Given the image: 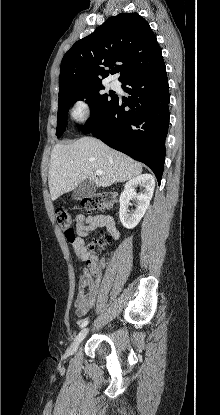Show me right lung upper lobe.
<instances>
[{"mask_svg": "<svg viewBox=\"0 0 220 415\" xmlns=\"http://www.w3.org/2000/svg\"><path fill=\"white\" fill-rule=\"evenodd\" d=\"M161 62V49L148 22L137 13H121L108 18L66 52L61 62L59 94L79 85L101 84L109 73L120 72L118 80L122 82Z\"/></svg>", "mask_w": 220, "mask_h": 415, "instance_id": "1", "label": "right lung upper lobe"}]
</instances>
